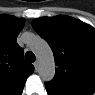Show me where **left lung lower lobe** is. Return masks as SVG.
<instances>
[{
	"instance_id": "1",
	"label": "left lung lower lobe",
	"mask_w": 95,
	"mask_h": 95,
	"mask_svg": "<svg viewBox=\"0 0 95 95\" xmlns=\"http://www.w3.org/2000/svg\"><path fill=\"white\" fill-rule=\"evenodd\" d=\"M48 95H90L91 93L77 88L53 89L45 84Z\"/></svg>"
}]
</instances>
